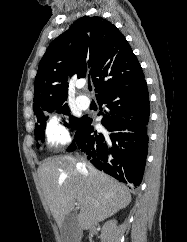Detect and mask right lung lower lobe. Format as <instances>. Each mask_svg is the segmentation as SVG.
Returning a JSON list of instances; mask_svg holds the SVG:
<instances>
[{"instance_id":"1","label":"right lung lower lobe","mask_w":187,"mask_h":242,"mask_svg":"<svg viewBox=\"0 0 187 242\" xmlns=\"http://www.w3.org/2000/svg\"><path fill=\"white\" fill-rule=\"evenodd\" d=\"M101 134L84 116L67 151L81 150L99 170L119 181L139 186L148 151L149 93L144 76L100 94ZM105 105V110L101 108Z\"/></svg>"}]
</instances>
